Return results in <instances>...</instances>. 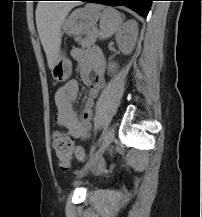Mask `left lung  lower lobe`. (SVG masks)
I'll return each instance as SVG.
<instances>
[{"label": "left lung lower lobe", "mask_w": 202, "mask_h": 217, "mask_svg": "<svg viewBox=\"0 0 202 217\" xmlns=\"http://www.w3.org/2000/svg\"><path fill=\"white\" fill-rule=\"evenodd\" d=\"M72 1H85L91 3H99L108 6H126L131 10L138 13L140 16H147L150 10L152 1L154 0H72Z\"/></svg>", "instance_id": "0a47b994"}]
</instances>
